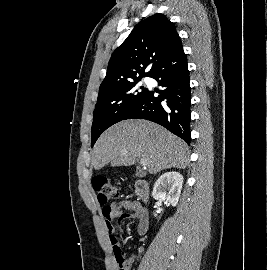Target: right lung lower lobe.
I'll list each match as a JSON object with an SVG mask.
<instances>
[{
    "mask_svg": "<svg viewBox=\"0 0 267 270\" xmlns=\"http://www.w3.org/2000/svg\"><path fill=\"white\" fill-rule=\"evenodd\" d=\"M150 77L156 79L164 90L159 92L158 97L148 90L123 120L138 118L156 122L190 143L191 89L182 43L161 61Z\"/></svg>",
    "mask_w": 267,
    "mask_h": 270,
    "instance_id": "right-lung-lower-lobe-1",
    "label": "right lung lower lobe"
}]
</instances>
